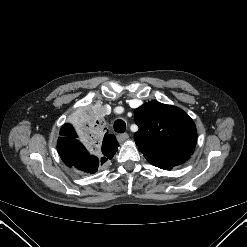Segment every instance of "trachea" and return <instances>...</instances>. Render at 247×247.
<instances>
[{
    "label": "trachea",
    "mask_w": 247,
    "mask_h": 247,
    "mask_svg": "<svg viewBox=\"0 0 247 247\" xmlns=\"http://www.w3.org/2000/svg\"><path fill=\"white\" fill-rule=\"evenodd\" d=\"M114 130L118 133H123L126 130V123L121 120L118 119L114 122Z\"/></svg>",
    "instance_id": "3493384b"
}]
</instances>
